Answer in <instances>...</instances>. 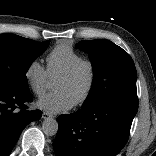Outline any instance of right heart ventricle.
<instances>
[{"label":"right heart ventricle","instance_id":"right-heart-ventricle-1","mask_svg":"<svg viewBox=\"0 0 156 156\" xmlns=\"http://www.w3.org/2000/svg\"><path fill=\"white\" fill-rule=\"evenodd\" d=\"M82 56L66 43L55 46L47 55V74L50 79H56L69 69Z\"/></svg>","mask_w":156,"mask_h":156}]
</instances>
